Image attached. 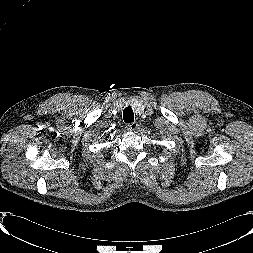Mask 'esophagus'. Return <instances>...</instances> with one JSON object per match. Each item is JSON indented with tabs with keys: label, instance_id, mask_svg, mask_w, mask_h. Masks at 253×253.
Returning a JSON list of instances; mask_svg holds the SVG:
<instances>
[{
	"label": "esophagus",
	"instance_id": "34e87169",
	"mask_svg": "<svg viewBox=\"0 0 253 253\" xmlns=\"http://www.w3.org/2000/svg\"><path fill=\"white\" fill-rule=\"evenodd\" d=\"M138 126H139L138 123L135 121V122H132V123L128 124L127 129L129 131H135V130L138 129Z\"/></svg>",
	"mask_w": 253,
	"mask_h": 253
}]
</instances>
